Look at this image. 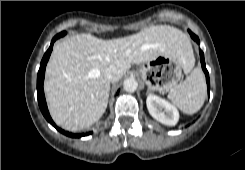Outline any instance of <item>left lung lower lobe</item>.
Wrapping results in <instances>:
<instances>
[{"instance_id": "1", "label": "left lung lower lobe", "mask_w": 245, "mask_h": 170, "mask_svg": "<svg viewBox=\"0 0 245 170\" xmlns=\"http://www.w3.org/2000/svg\"><path fill=\"white\" fill-rule=\"evenodd\" d=\"M188 32L190 33L192 39L199 44V38L195 34H193L190 30ZM200 58H201L202 69L206 75V82H207V86H208V94L210 95L209 74H208L207 69H206L205 60H204V53L202 52V50H200Z\"/></svg>"}]
</instances>
